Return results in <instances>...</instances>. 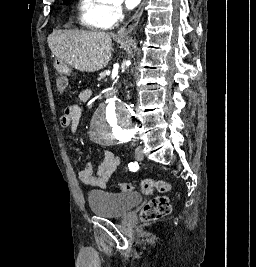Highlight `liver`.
I'll return each mask as SVG.
<instances>
[{"label":"liver","instance_id":"6515ba94","mask_svg":"<svg viewBox=\"0 0 256 267\" xmlns=\"http://www.w3.org/2000/svg\"><path fill=\"white\" fill-rule=\"evenodd\" d=\"M113 38L121 42V38ZM47 42L59 62L80 72H98L106 68L112 58V40L107 32L53 30Z\"/></svg>","mask_w":256,"mask_h":267}]
</instances>
